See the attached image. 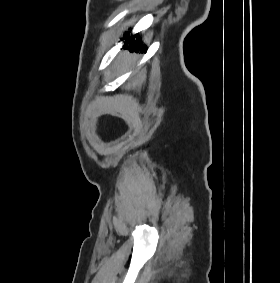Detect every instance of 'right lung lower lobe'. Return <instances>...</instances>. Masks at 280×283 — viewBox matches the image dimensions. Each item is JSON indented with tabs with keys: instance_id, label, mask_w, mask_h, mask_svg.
<instances>
[{
	"instance_id": "98d812e1",
	"label": "right lung lower lobe",
	"mask_w": 280,
	"mask_h": 283,
	"mask_svg": "<svg viewBox=\"0 0 280 283\" xmlns=\"http://www.w3.org/2000/svg\"><path fill=\"white\" fill-rule=\"evenodd\" d=\"M137 37V35H132V36H129V32L125 33L124 34V38L126 41H125V44H129L130 43V49H141L142 51L143 50H146L145 49V46L141 45V40L139 39V37H137V40L135 41L134 38ZM122 39V40H123Z\"/></svg>"
}]
</instances>
